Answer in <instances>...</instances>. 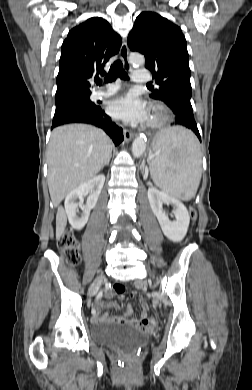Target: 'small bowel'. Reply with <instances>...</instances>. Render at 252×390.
I'll use <instances>...</instances> for the list:
<instances>
[{
  "instance_id": "obj_1",
  "label": "small bowel",
  "mask_w": 252,
  "mask_h": 390,
  "mask_svg": "<svg viewBox=\"0 0 252 390\" xmlns=\"http://www.w3.org/2000/svg\"><path fill=\"white\" fill-rule=\"evenodd\" d=\"M114 290L107 292V296L113 295ZM120 299L124 298V295H118ZM141 305L140 320H137L133 317V309L131 305H127L126 312L123 315L110 316L109 314H101V311L105 308L118 309V304L116 302L105 303L99 302L97 304V312L95 316H92L94 322L100 321H112L118 323L128 324L129 326L139 329V330H148L153 324L154 320L148 316V305L143 298L139 299Z\"/></svg>"
}]
</instances>
